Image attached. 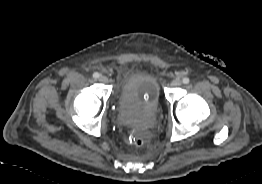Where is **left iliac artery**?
I'll return each mask as SVG.
<instances>
[{
    "instance_id": "1",
    "label": "left iliac artery",
    "mask_w": 262,
    "mask_h": 184,
    "mask_svg": "<svg viewBox=\"0 0 262 184\" xmlns=\"http://www.w3.org/2000/svg\"><path fill=\"white\" fill-rule=\"evenodd\" d=\"M182 82L184 84H188L190 82V80H189V78L185 77V78H183Z\"/></svg>"
}]
</instances>
